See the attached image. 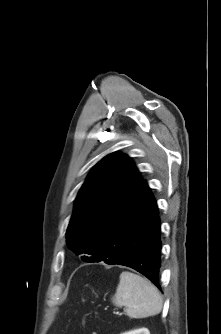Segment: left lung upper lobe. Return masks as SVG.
Listing matches in <instances>:
<instances>
[{
	"label": "left lung upper lobe",
	"instance_id": "left-lung-upper-lobe-1",
	"mask_svg": "<svg viewBox=\"0 0 221 334\" xmlns=\"http://www.w3.org/2000/svg\"><path fill=\"white\" fill-rule=\"evenodd\" d=\"M143 181L132 160L112 153L99 161L88 175L75 202L67 229V245L92 262L97 245L114 218Z\"/></svg>",
	"mask_w": 221,
	"mask_h": 334
}]
</instances>
